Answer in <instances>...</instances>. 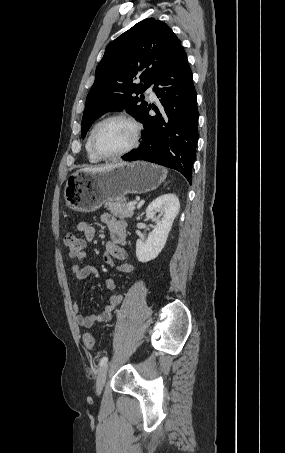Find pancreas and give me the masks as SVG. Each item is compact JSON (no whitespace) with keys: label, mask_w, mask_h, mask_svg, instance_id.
I'll return each mask as SVG.
<instances>
[{"label":"pancreas","mask_w":285,"mask_h":453,"mask_svg":"<svg viewBox=\"0 0 285 453\" xmlns=\"http://www.w3.org/2000/svg\"><path fill=\"white\" fill-rule=\"evenodd\" d=\"M105 208L120 219L131 218L134 214V210L129 209V203L126 199L120 202H107Z\"/></svg>","instance_id":"cf45deb5"}]
</instances>
